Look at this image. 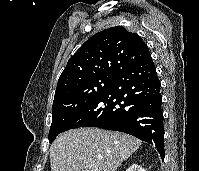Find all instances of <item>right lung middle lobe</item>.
<instances>
[{
  "label": "right lung middle lobe",
  "instance_id": "right-lung-middle-lobe-1",
  "mask_svg": "<svg viewBox=\"0 0 199 171\" xmlns=\"http://www.w3.org/2000/svg\"><path fill=\"white\" fill-rule=\"evenodd\" d=\"M114 79L115 76L92 78L55 99L52 106L49 142L52 143L55 137L64 131L74 116L105 90Z\"/></svg>",
  "mask_w": 199,
  "mask_h": 171
}]
</instances>
